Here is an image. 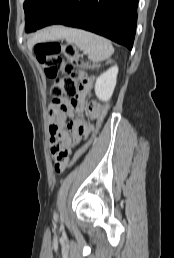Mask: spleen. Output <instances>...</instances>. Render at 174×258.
Wrapping results in <instances>:
<instances>
[{"mask_svg":"<svg viewBox=\"0 0 174 258\" xmlns=\"http://www.w3.org/2000/svg\"><path fill=\"white\" fill-rule=\"evenodd\" d=\"M59 38H65L68 43H74L88 54L89 59L95 62L108 59L114 53V48L109 40L81 29L62 28Z\"/></svg>","mask_w":174,"mask_h":258,"instance_id":"spleen-1","label":"spleen"}]
</instances>
